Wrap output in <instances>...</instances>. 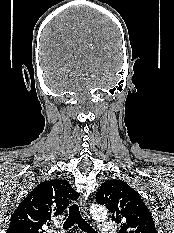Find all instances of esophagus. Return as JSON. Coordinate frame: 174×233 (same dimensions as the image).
I'll return each instance as SVG.
<instances>
[{"label": "esophagus", "instance_id": "obj_1", "mask_svg": "<svg viewBox=\"0 0 174 233\" xmlns=\"http://www.w3.org/2000/svg\"><path fill=\"white\" fill-rule=\"evenodd\" d=\"M79 206H80V210L83 213V215L85 217H88V214H87V203H86V201H85L84 198H80L79 199Z\"/></svg>", "mask_w": 174, "mask_h": 233}]
</instances>
